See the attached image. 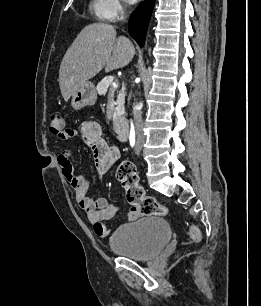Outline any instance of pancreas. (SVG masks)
Here are the masks:
<instances>
[{
    "label": "pancreas",
    "instance_id": "pancreas-1",
    "mask_svg": "<svg viewBox=\"0 0 261 306\" xmlns=\"http://www.w3.org/2000/svg\"><path fill=\"white\" fill-rule=\"evenodd\" d=\"M114 77L106 76L97 85L96 89L99 95H104L109 88V97L112 98L116 88L112 86ZM117 116L124 114V91L119 92L117 99V107L114 112Z\"/></svg>",
    "mask_w": 261,
    "mask_h": 306
}]
</instances>
